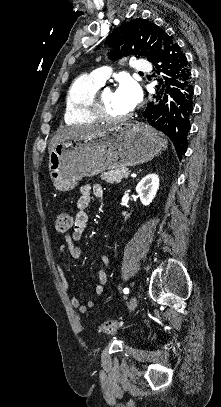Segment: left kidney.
Instances as JSON below:
<instances>
[{
	"label": "left kidney",
	"instance_id": "5707ae66",
	"mask_svg": "<svg viewBox=\"0 0 221 407\" xmlns=\"http://www.w3.org/2000/svg\"><path fill=\"white\" fill-rule=\"evenodd\" d=\"M159 189V178L157 174H149L145 176L136 186V192L140 197V201L144 206L149 205L155 198ZM126 217L129 216L126 212L123 213Z\"/></svg>",
	"mask_w": 221,
	"mask_h": 407
}]
</instances>
